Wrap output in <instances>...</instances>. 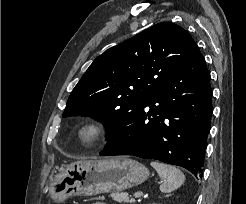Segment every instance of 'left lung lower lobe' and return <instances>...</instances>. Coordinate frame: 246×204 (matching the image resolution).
Returning <instances> with one entry per match:
<instances>
[{
  "label": "left lung lower lobe",
  "mask_w": 246,
  "mask_h": 204,
  "mask_svg": "<svg viewBox=\"0 0 246 204\" xmlns=\"http://www.w3.org/2000/svg\"><path fill=\"white\" fill-rule=\"evenodd\" d=\"M211 115L210 74L197 47L109 139L100 155L155 159L201 178Z\"/></svg>",
  "instance_id": "1"
}]
</instances>
